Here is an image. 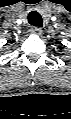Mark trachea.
I'll list each match as a JSON object with an SVG mask.
<instances>
[{"instance_id":"1","label":"trachea","mask_w":71,"mask_h":119,"mask_svg":"<svg viewBox=\"0 0 71 119\" xmlns=\"http://www.w3.org/2000/svg\"><path fill=\"white\" fill-rule=\"evenodd\" d=\"M28 23L31 24V25H33V26H37V27H42L43 26L42 17L36 11H31L28 14Z\"/></svg>"}]
</instances>
